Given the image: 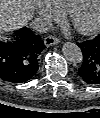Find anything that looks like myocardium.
Returning a JSON list of instances; mask_svg holds the SVG:
<instances>
[{
  "label": "myocardium",
  "instance_id": "1",
  "mask_svg": "<svg viewBox=\"0 0 100 118\" xmlns=\"http://www.w3.org/2000/svg\"><path fill=\"white\" fill-rule=\"evenodd\" d=\"M97 1L99 3V6H98V9H97L95 19L87 25L79 24L78 18H79V15L82 13V11L87 6H89L93 2V0H82L68 12V19H69L70 23L81 34L93 33L96 30H98L99 27H100V0H97Z\"/></svg>",
  "mask_w": 100,
  "mask_h": 118
}]
</instances>
